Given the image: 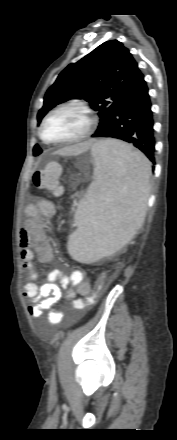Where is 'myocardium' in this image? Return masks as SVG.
<instances>
[{
    "label": "myocardium",
    "instance_id": "myocardium-1",
    "mask_svg": "<svg viewBox=\"0 0 177 440\" xmlns=\"http://www.w3.org/2000/svg\"><path fill=\"white\" fill-rule=\"evenodd\" d=\"M63 110H72V111H75V112H78L79 114H81L86 119V127L79 135H77L75 137L64 139V140H59V141L47 140L43 134L44 127H45L47 121L55 113L63 111ZM94 127H95V120L86 108H84L80 105H75V104H64V105H60V106L54 108L44 117V119L42 120L41 125L39 127L38 134H39L40 139L46 144L64 145V144L76 143V142H79V141L86 139L92 133Z\"/></svg>",
    "mask_w": 177,
    "mask_h": 440
}]
</instances>
